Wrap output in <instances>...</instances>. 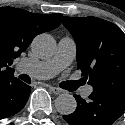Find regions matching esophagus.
<instances>
[{
    "instance_id": "obj_1",
    "label": "esophagus",
    "mask_w": 125,
    "mask_h": 125,
    "mask_svg": "<svg viewBox=\"0 0 125 125\" xmlns=\"http://www.w3.org/2000/svg\"><path fill=\"white\" fill-rule=\"evenodd\" d=\"M49 89L51 92H53L55 95H59L61 94V89H59L58 87L55 86H49Z\"/></svg>"
}]
</instances>
